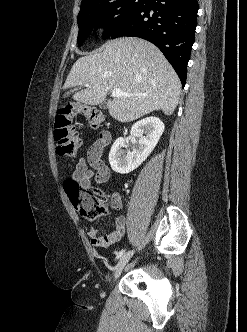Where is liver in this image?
<instances>
[{
    "mask_svg": "<svg viewBox=\"0 0 247 332\" xmlns=\"http://www.w3.org/2000/svg\"><path fill=\"white\" fill-rule=\"evenodd\" d=\"M85 84L89 86L75 93L73 99L87 105L101 104L113 89L132 94L107 102L109 114L123 123L155 110L171 115L181 93V82L159 49L132 37L108 41L101 51L80 57L64 89Z\"/></svg>",
    "mask_w": 247,
    "mask_h": 332,
    "instance_id": "liver-1",
    "label": "liver"
}]
</instances>
